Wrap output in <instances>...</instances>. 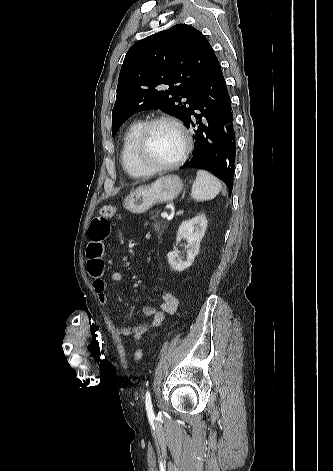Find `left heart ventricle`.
<instances>
[{"instance_id": "obj_1", "label": "left heart ventricle", "mask_w": 333, "mask_h": 471, "mask_svg": "<svg viewBox=\"0 0 333 471\" xmlns=\"http://www.w3.org/2000/svg\"><path fill=\"white\" fill-rule=\"evenodd\" d=\"M182 139L178 131L169 124H158L152 128L148 139L147 157L155 164L174 161L181 153Z\"/></svg>"}]
</instances>
